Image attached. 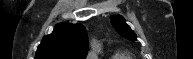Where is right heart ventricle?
Segmentation results:
<instances>
[{
    "label": "right heart ventricle",
    "instance_id": "1",
    "mask_svg": "<svg viewBox=\"0 0 193 59\" xmlns=\"http://www.w3.org/2000/svg\"><path fill=\"white\" fill-rule=\"evenodd\" d=\"M111 59H133V58L127 53L119 52L115 54Z\"/></svg>",
    "mask_w": 193,
    "mask_h": 59
}]
</instances>
